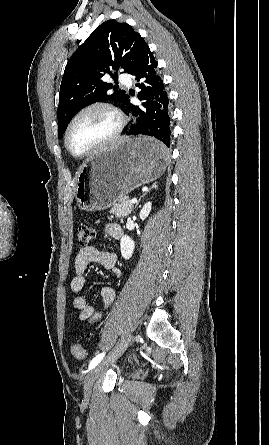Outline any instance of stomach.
<instances>
[{"mask_svg": "<svg viewBox=\"0 0 269 445\" xmlns=\"http://www.w3.org/2000/svg\"><path fill=\"white\" fill-rule=\"evenodd\" d=\"M153 143L146 137L127 138L92 156L76 179L77 206L85 211L110 208L135 188L159 178L168 156L147 153L145 147Z\"/></svg>", "mask_w": 269, "mask_h": 445, "instance_id": "1", "label": "stomach"}]
</instances>
